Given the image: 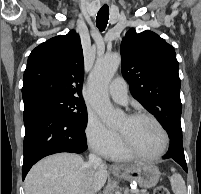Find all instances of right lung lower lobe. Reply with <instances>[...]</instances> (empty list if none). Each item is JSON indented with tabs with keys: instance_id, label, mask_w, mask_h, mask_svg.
<instances>
[{
	"instance_id": "right-lung-lower-lobe-1",
	"label": "right lung lower lobe",
	"mask_w": 201,
	"mask_h": 194,
	"mask_svg": "<svg viewBox=\"0 0 201 194\" xmlns=\"http://www.w3.org/2000/svg\"><path fill=\"white\" fill-rule=\"evenodd\" d=\"M24 160L22 179L33 164L45 156L87 149L84 130H81L60 112L38 104L24 107Z\"/></svg>"
}]
</instances>
